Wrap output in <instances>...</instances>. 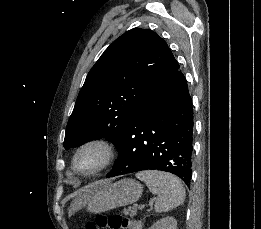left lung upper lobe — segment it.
<instances>
[{
	"instance_id": "5c2ea615",
	"label": "left lung upper lobe",
	"mask_w": 261,
	"mask_h": 229,
	"mask_svg": "<svg viewBox=\"0 0 261 229\" xmlns=\"http://www.w3.org/2000/svg\"><path fill=\"white\" fill-rule=\"evenodd\" d=\"M179 69L166 42L134 28L117 38L88 73L69 118L64 147L106 138L118 148L151 92Z\"/></svg>"
}]
</instances>
